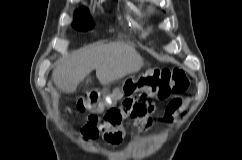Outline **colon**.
I'll return each mask as SVG.
<instances>
[{
	"instance_id": "1",
	"label": "colon",
	"mask_w": 242,
	"mask_h": 160,
	"mask_svg": "<svg viewBox=\"0 0 242 160\" xmlns=\"http://www.w3.org/2000/svg\"><path fill=\"white\" fill-rule=\"evenodd\" d=\"M188 87L189 78L183 69L154 68L126 79L121 86L110 92L104 93L97 89L84 92L67 107V112L89 113L82 133L88 138H95L119 124L124 115L133 118L149 117L153 111L152 98L182 93ZM120 100L123 111L116 106ZM179 106L180 100L174 99L168 111L177 110ZM101 112L104 114L98 116Z\"/></svg>"
}]
</instances>
